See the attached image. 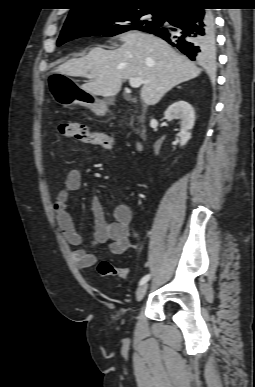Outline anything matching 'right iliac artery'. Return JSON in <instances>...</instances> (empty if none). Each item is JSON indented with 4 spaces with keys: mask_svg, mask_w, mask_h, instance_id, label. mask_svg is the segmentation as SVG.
<instances>
[{
    "mask_svg": "<svg viewBox=\"0 0 255 387\" xmlns=\"http://www.w3.org/2000/svg\"><path fill=\"white\" fill-rule=\"evenodd\" d=\"M150 274L145 275L139 282V285L145 284L150 279Z\"/></svg>",
    "mask_w": 255,
    "mask_h": 387,
    "instance_id": "1",
    "label": "right iliac artery"
}]
</instances>
